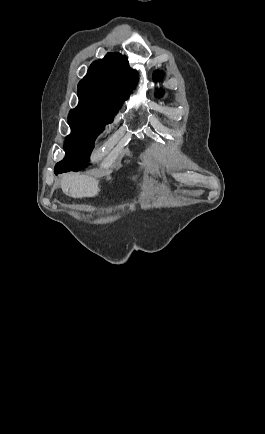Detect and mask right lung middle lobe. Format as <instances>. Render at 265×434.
Instances as JSON below:
<instances>
[{
	"label": "right lung middle lobe",
	"mask_w": 265,
	"mask_h": 434,
	"mask_svg": "<svg viewBox=\"0 0 265 434\" xmlns=\"http://www.w3.org/2000/svg\"><path fill=\"white\" fill-rule=\"evenodd\" d=\"M79 104L71 110L68 123L72 129L64 145L66 157L55 169L77 171L87 167L95 138L111 123L121 103L113 102L97 93L78 91Z\"/></svg>",
	"instance_id": "right-lung-middle-lobe-1"
}]
</instances>
